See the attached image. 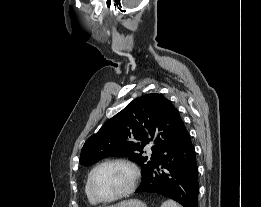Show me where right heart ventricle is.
<instances>
[{
	"mask_svg": "<svg viewBox=\"0 0 261 207\" xmlns=\"http://www.w3.org/2000/svg\"><path fill=\"white\" fill-rule=\"evenodd\" d=\"M88 177H89V176H88ZM84 190H85V195H86V197H87L89 203L95 204L96 201L92 198V196L90 195L89 189H88V178H87V180H86V182H85Z\"/></svg>",
	"mask_w": 261,
	"mask_h": 207,
	"instance_id": "obj_1",
	"label": "right heart ventricle"
}]
</instances>
